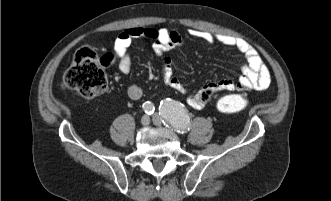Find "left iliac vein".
Here are the masks:
<instances>
[{
    "label": "left iliac vein",
    "mask_w": 331,
    "mask_h": 201,
    "mask_svg": "<svg viewBox=\"0 0 331 201\" xmlns=\"http://www.w3.org/2000/svg\"><path fill=\"white\" fill-rule=\"evenodd\" d=\"M157 121H159V116L157 114L154 115V117Z\"/></svg>",
    "instance_id": "left-iliac-vein-1"
}]
</instances>
